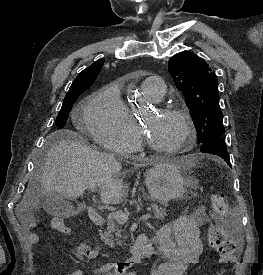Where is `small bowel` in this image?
Listing matches in <instances>:
<instances>
[{"label": "small bowel", "instance_id": "small-bowel-1", "mask_svg": "<svg viewBox=\"0 0 263 275\" xmlns=\"http://www.w3.org/2000/svg\"><path fill=\"white\" fill-rule=\"evenodd\" d=\"M61 221L56 219L53 221ZM26 227H34L33 220H26ZM64 223V222H63ZM210 223L209 216L203 207L196 208L191 214L180 215L172 222L163 225L157 232L156 244L150 243L152 255H161L166 260L155 266L151 275H184L189 266L198 262L204 243L201 228ZM174 237L175 242L172 241ZM32 243L39 241L36 233H30ZM74 250L79 256L88 259L99 255V247H90L83 243L74 245ZM96 275H136L135 272L120 271L112 264H104L93 270ZM69 275H85L82 270H77Z\"/></svg>", "mask_w": 263, "mask_h": 275}]
</instances>
